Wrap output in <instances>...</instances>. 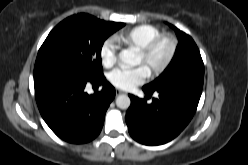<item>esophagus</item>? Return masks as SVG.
I'll list each match as a JSON object with an SVG mask.
<instances>
[{"label":"esophagus","mask_w":248,"mask_h":165,"mask_svg":"<svg viewBox=\"0 0 248 165\" xmlns=\"http://www.w3.org/2000/svg\"><path fill=\"white\" fill-rule=\"evenodd\" d=\"M124 92L120 89H116V95H120V94H123Z\"/></svg>","instance_id":"1"}]
</instances>
